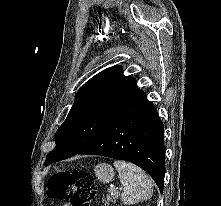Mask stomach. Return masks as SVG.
Returning a JSON list of instances; mask_svg holds the SVG:
<instances>
[{
    "instance_id": "obj_1",
    "label": "stomach",
    "mask_w": 221,
    "mask_h": 206,
    "mask_svg": "<svg viewBox=\"0 0 221 206\" xmlns=\"http://www.w3.org/2000/svg\"><path fill=\"white\" fill-rule=\"evenodd\" d=\"M95 175L100 182L109 183L114 176L113 168L108 164H99L94 169Z\"/></svg>"
}]
</instances>
